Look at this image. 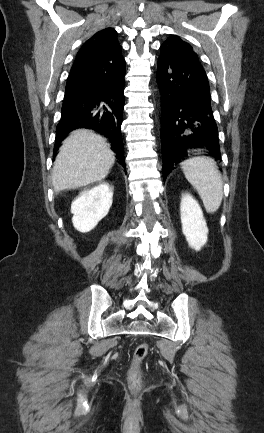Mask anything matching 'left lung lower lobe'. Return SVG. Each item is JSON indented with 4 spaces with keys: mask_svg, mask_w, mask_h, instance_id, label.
I'll use <instances>...</instances> for the list:
<instances>
[{
    "mask_svg": "<svg viewBox=\"0 0 264 433\" xmlns=\"http://www.w3.org/2000/svg\"><path fill=\"white\" fill-rule=\"evenodd\" d=\"M162 102L161 149L163 179L189 149L204 148L221 159L218 128L210 103L209 82L192 60L161 54L156 75Z\"/></svg>",
    "mask_w": 264,
    "mask_h": 433,
    "instance_id": "1",
    "label": "left lung lower lobe"
}]
</instances>
